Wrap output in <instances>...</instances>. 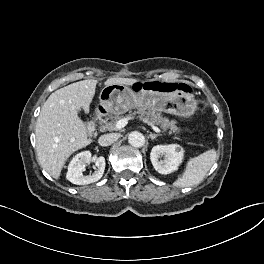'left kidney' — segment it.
I'll return each mask as SVG.
<instances>
[{
  "label": "left kidney",
  "instance_id": "left-kidney-1",
  "mask_svg": "<svg viewBox=\"0 0 264 264\" xmlns=\"http://www.w3.org/2000/svg\"><path fill=\"white\" fill-rule=\"evenodd\" d=\"M164 156V160L160 158ZM184 158V149L178 144L156 145L152 148L150 159L153 167L160 174H170L178 169Z\"/></svg>",
  "mask_w": 264,
  "mask_h": 264
}]
</instances>
